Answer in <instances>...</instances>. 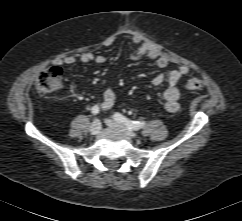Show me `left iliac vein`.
<instances>
[{"instance_id": "left-iliac-vein-1", "label": "left iliac vein", "mask_w": 242, "mask_h": 221, "mask_svg": "<svg viewBox=\"0 0 242 221\" xmlns=\"http://www.w3.org/2000/svg\"><path fill=\"white\" fill-rule=\"evenodd\" d=\"M105 123L112 128H117V129L122 130L124 133H126L131 138H138L137 134L134 131L128 129L125 125H123L115 120L106 119Z\"/></svg>"}]
</instances>
